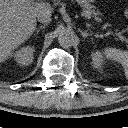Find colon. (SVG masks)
Returning <instances> with one entry per match:
<instances>
[{"mask_svg":"<svg viewBox=\"0 0 128 128\" xmlns=\"http://www.w3.org/2000/svg\"><path fill=\"white\" fill-rule=\"evenodd\" d=\"M124 15H125L126 19L128 20V8L125 9Z\"/></svg>","mask_w":128,"mask_h":128,"instance_id":"5ec220e1","label":"colon"}]
</instances>
